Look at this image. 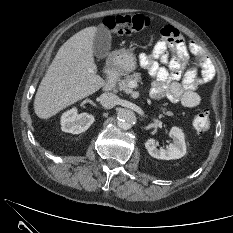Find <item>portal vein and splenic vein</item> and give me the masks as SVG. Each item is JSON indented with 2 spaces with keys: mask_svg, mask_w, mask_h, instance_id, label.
Listing matches in <instances>:
<instances>
[{
  "mask_svg": "<svg viewBox=\"0 0 233 233\" xmlns=\"http://www.w3.org/2000/svg\"><path fill=\"white\" fill-rule=\"evenodd\" d=\"M129 87H130V88H135V87H137V82L134 81V80L130 81V82H129Z\"/></svg>",
  "mask_w": 233,
  "mask_h": 233,
  "instance_id": "portal-vein-and-splenic-vein-1",
  "label": "portal vein and splenic vein"
}]
</instances>
